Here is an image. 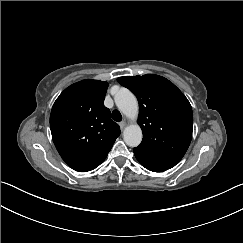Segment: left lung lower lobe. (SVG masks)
I'll use <instances>...</instances> for the list:
<instances>
[{"instance_id": "obj_1", "label": "left lung lower lobe", "mask_w": 243, "mask_h": 243, "mask_svg": "<svg viewBox=\"0 0 243 243\" xmlns=\"http://www.w3.org/2000/svg\"><path fill=\"white\" fill-rule=\"evenodd\" d=\"M137 160H138V161H139L145 168H147V169L150 170V171H153V172H163V171L167 170V169H162V168L156 167V166H154V165H152V164H150V163H148V162H146V161H144V160H142V159H140V158H137Z\"/></svg>"}]
</instances>
